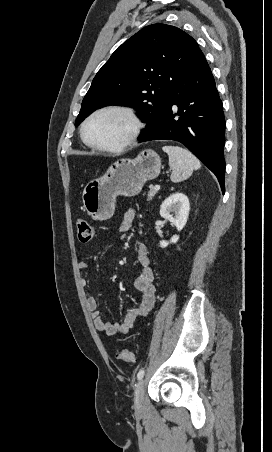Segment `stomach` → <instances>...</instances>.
Here are the masks:
<instances>
[{
	"label": "stomach",
	"mask_w": 272,
	"mask_h": 452,
	"mask_svg": "<svg viewBox=\"0 0 272 452\" xmlns=\"http://www.w3.org/2000/svg\"><path fill=\"white\" fill-rule=\"evenodd\" d=\"M161 159L153 150H143L137 157L114 162L106 173L90 181L82 194L83 206L96 220H107L115 212L116 197H132L144 184L160 174Z\"/></svg>",
	"instance_id": "stomach-1"
}]
</instances>
